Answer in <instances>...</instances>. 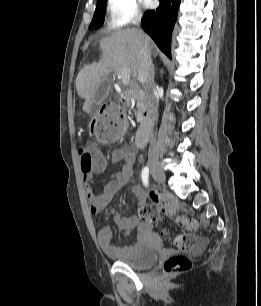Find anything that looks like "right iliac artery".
<instances>
[{"label":"right iliac artery","mask_w":261,"mask_h":306,"mask_svg":"<svg viewBox=\"0 0 261 306\" xmlns=\"http://www.w3.org/2000/svg\"><path fill=\"white\" fill-rule=\"evenodd\" d=\"M142 182L144 184L145 187H148L149 186V181H148V178H149V168L148 167H144V169L142 170Z\"/></svg>","instance_id":"right-iliac-artery-1"}]
</instances>
